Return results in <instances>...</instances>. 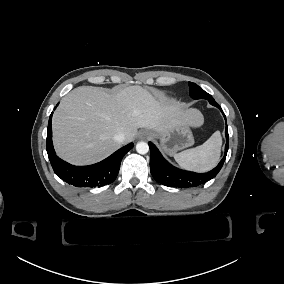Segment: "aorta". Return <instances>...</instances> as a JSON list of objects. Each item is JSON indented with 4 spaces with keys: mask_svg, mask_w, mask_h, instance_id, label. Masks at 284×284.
<instances>
[{
    "mask_svg": "<svg viewBox=\"0 0 284 284\" xmlns=\"http://www.w3.org/2000/svg\"><path fill=\"white\" fill-rule=\"evenodd\" d=\"M136 151L139 154H146L149 151V146L146 142H138L136 144Z\"/></svg>",
    "mask_w": 284,
    "mask_h": 284,
    "instance_id": "aorta-1",
    "label": "aorta"
}]
</instances>
